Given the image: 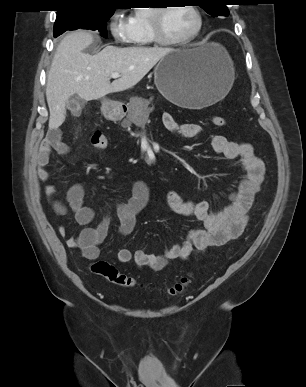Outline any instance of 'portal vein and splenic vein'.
<instances>
[{
	"mask_svg": "<svg viewBox=\"0 0 306 387\" xmlns=\"http://www.w3.org/2000/svg\"><path fill=\"white\" fill-rule=\"evenodd\" d=\"M111 77L114 78V79H117V78L120 77V74L119 73H112Z\"/></svg>",
	"mask_w": 306,
	"mask_h": 387,
	"instance_id": "1",
	"label": "portal vein and splenic vein"
}]
</instances>
